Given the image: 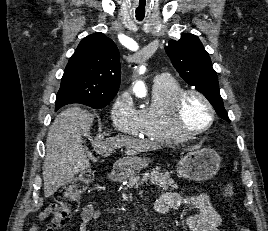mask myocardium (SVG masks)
<instances>
[{
    "instance_id": "obj_1",
    "label": "myocardium",
    "mask_w": 268,
    "mask_h": 231,
    "mask_svg": "<svg viewBox=\"0 0 268 231\" xmlns=\"http://www.w3.org/2000/svg\"><path fill=\"white\" fill-rule=\"evenodd\" d=\"M188 96L198 97L201 101L204 102V104L207 106L210 112L209 122L197 128L194 131H186L180 125L182 105H183L184 100ZM214 120H215V109L212 103L210 102V100L207 98V96L204 95L202 92L196 89H182L172 99L171 110H170V121H171V125H172L174 132L181 139H189V138H192V137H195L197 135L204 133L213 125Z\"/></svg>"
}]
</instances>
